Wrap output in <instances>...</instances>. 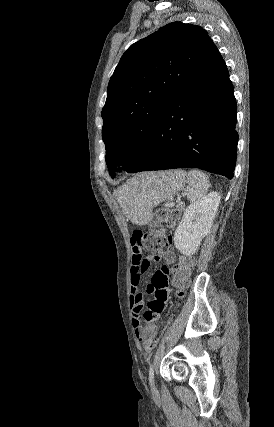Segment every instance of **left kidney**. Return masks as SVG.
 Listing matches in <instances>:
<instances>
[{
    "mask_svg": "<svg viewBox=\"0 0 274 427\" xmlns=\"http://www.w3.org/2000/svg\"><path fill=\"white\" fill-rule=\"evenodd\" d=\"M220 204V194L210 192L208 196L186 208L174 233V245L184 253L193 255L208 231Z\"/></svg>",
    "mask_w": 274,
    "mask_h": 427,
    "instance_id": "1",
    "label": "left kidney"
}]
</instances>
